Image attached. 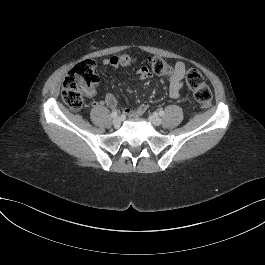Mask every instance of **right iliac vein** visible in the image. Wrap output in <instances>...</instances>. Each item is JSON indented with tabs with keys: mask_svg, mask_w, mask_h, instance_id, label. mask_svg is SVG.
Wrapping results in <instances>:
<instances>
[{
	"mask_svg": "<svg viewBox=\"0 0 265 265\" xmlns=\"http://www.w3.org/2000/svg\"><path fill=\"white\" fill-rule=\"evenodd\" d=\"M121 118L120 117H116L115 119H113V121H112V124H113V126L115 127V128H118L119 126H120V124H121Z\"/></svg>",
	"mask_w": 265,
	"mask_h": 265,
	"instance_id": "63e3f726",
	"label": "right iliac vein"
}]
</instances>
